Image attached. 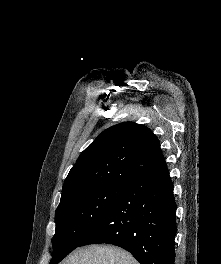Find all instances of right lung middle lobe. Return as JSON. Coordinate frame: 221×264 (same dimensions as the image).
I'll return each instance as SVG.
<instances>
[{
    "label": "right lung middle lobe",
    "mask_w": 221,
    "mask_h": 264,
    "mask_svg": "<svg viewBox=\"0 0 221 264\" xmlns=\"http://www.w3.org/2000/svg\"><path fill=\"white\" fill-rule=\"evenodd\" d=\"M126 184L106 183L78 191L60 201L56 209L53 258L57 264L90 235L111 210Z\"/></svg>",
    "instance_id": "obj_1"
}]
</instances>
